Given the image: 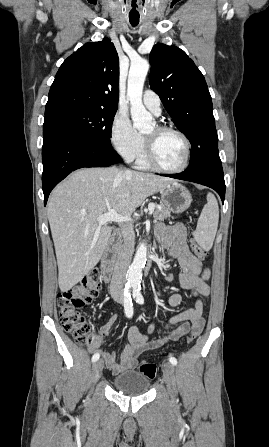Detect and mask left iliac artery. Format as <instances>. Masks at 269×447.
I'll list each match as a JSON object with an SVG mask.
<instances>
[{
	"label": "left iliac artery",
	"instance_id": "obj_1",
	"mask_svg": "<svg viewBox=\"0 0 269 447\" xmlns=\"http://www.w3.org/2000/svg\"><path fill=\"white\" fill-rule=\"evenodd\" d=\"M132 287H133V298L135 299V301L138 304H143L144 303V298H143V296H142V294L140 292V290H141L140 283L136 282V283L133 284ZM169 361H170V363L172 365H177V359L175 357H170Z\"/></svg>",
	"mask_w": 269,
	"mask_h": 447
}]
</instances>
